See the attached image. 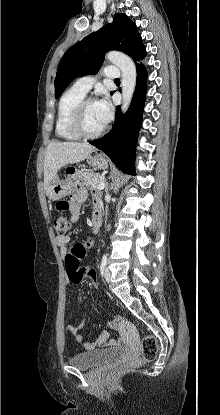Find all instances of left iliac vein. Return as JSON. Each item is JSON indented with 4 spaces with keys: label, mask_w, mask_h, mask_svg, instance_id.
<instances>
[{
    "label": "left iliac vein",
    "mask_w": 220,
    "mask_h": 415,
    "mask_svg": "<svg viewBox=\"0 0 220 415\" xmlns=\"http://www.w3.org/2000/svg\"><path fill=\"white\" fill-rule=\"evenodd\" d=\"M103 277L107 282H109L111 279V273L107 267L103 268Z\"/></svg>",
    "instance_id": "4c4485c4"
}]
</instances>
